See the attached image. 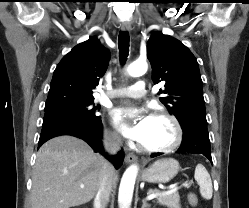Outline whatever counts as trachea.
Here are the masks:
<instances>
[{
	"mask_svg": "<svg viewBox=\"0 0 249 208\" xmlns=\"http://www.w3.org/2000/svg\"><path fill=\"white\" fill-rule=\"evenodd\" d=\"M119 56L121 64H124L129 53V33L120 32L118 36Z\"/></svg>",
	"mask_w": 249,
	"mask_h": 208,
	"instance_id": "1",
	"label": "trachea"
}]
</instances>
